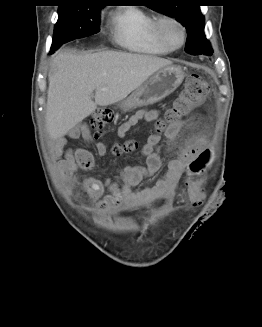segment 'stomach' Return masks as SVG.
<instances>
[{"mask_svg": "<svg viewBox=\"0 0 262 327\" xmlns=\"http://www.w3.org/2000/svg\"><path fill=\"white\" fill-rule=\"evenodd\" d=\"M181 67L168 65L155 72L126 100L121 103L124 111L152 105L170 95L183 81Z\"/></svg>", "mask_w": 262, "mask_h": 327, "instance_id": "0dacf381", "label": "stomach"}]
</instances>
